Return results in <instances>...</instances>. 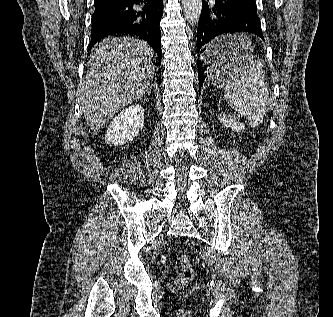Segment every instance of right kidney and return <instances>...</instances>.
I'll return each mask as SVG.
<instances>
[{"instance_id": "1", "label": "right kidney", "mask_w": 333, "mask_h": 317, "mask_svg": "<svg viewBox=\"0 0 333 317\" xmlns=\"http://www.w3.org/2000/svg\"><path fill=\"white\" fill-rule=\"evenodd\" d=\"M144 109L140 104L131 105L111 121L105 141L109 144L124 145L133 141L143 128Z\"/></svg>"}]
</instances>
